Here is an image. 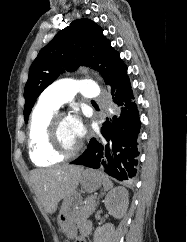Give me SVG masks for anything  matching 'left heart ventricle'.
<instances>
[{"mask_svg": "<svg viewBox=\"0 0 187 242\" xmlns=\"http://www.w3.org/2000/svg\"><path fill=\"white\" fill-rule=\"evenodd\" d=\"M57 141L59 147L65 151L74 149L79 143V139L74 134L69 118L59 122L57 126Z\"/></svg>", "mask_w": 187, "mask_h": 242, "instance_id": "1", "label": "left heart ventricle"}]
</instances>
